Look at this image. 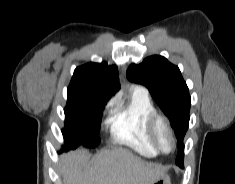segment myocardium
Wrapping results in <instances>:
<instances>
[{"label": "myocardium", "instance_id": "myocardium-1", "mask_svg": "<svg viewBox=\"0 0 235 184\" xmlns=\"http://www.w3.org/2000/svg\"><path fill=\"white\" fill-rule=\"evenodd\" d=\"M164 128L167 131L170 132V134L172 135L173 138V149L171 152H166L164 151L161 146L159 145L158 142V133L159 131ZM148 131H149V135L152 141V144L154 146V148L156 149L157 152L163 154V155H169L172 154L176 147H177V138H176V134L174 129L172 128V126L170 125L169 121L167 120V118L161 114L155 113L148 122Z\"/></svg>", "mask_w": 235, "mask_h": 184}]
</instances>
